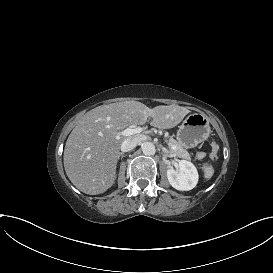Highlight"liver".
<instances>
[{"instance_id": "6515ba94", "label": "liver", "mask_w": 273, "mask_h": 273, "mask_svg": "<svg viewBox=\"0 0 273 273\" xmlns=\"http://www.w3.org/2000/svg\"><path fill=\"white\" fill-rule=\"evenodd\" d=\"M189 112L178 105L150 109L137 101L101 105L90 110L66 141L64 168L68 178L86 194L105 192L115 181L122 143L134 137L122 135L126 127L143 125L151 117L153 127L169 129L179 124Z\"/></svg>"}]
</instances>
